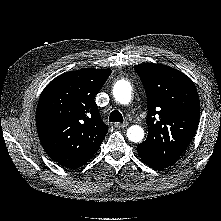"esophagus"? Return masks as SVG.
Wrapping results in <instances>:
<instances>
[{
	"mask_svg": "<svg viewBox=\"0 0 221 221\" xmlns=\"http://www.w3.org/2000/svg\"><path fill=\"white\" fill-rule=\"evenodd\" d=\"M128 126V122H123V123H115L116 128H125Z\"/></svg>",
	"mask_w": 221,
	"mask_h": 221,
	"instance_id": "1",
	"label": "esophagus"
}]
</instances>
